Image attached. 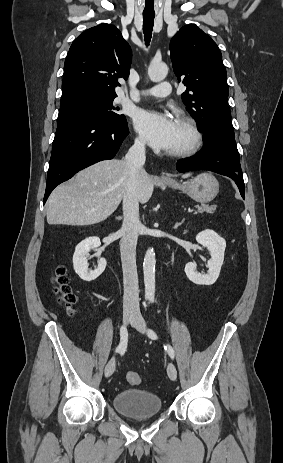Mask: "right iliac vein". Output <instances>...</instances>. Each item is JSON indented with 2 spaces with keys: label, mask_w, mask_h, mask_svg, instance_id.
<instances>
[{
  "label": "right iliac vein",
  "mask_w": 283,
  "mask_h": 463,
  "mask_svg": "<svg viewBox=\"0 0 283 463\" xmlns=\"http://www.w3.org/2000/svg\"><path fill=\"white\" fill-rule=\"evenodd\" d=\"M135 312L132 310H125L123 313V323L124 325L129 324V322L134 318ZM116 360L115 357L111 358L108 364L105 367V376L110 377L115 370Z\"/></svg>",
  "instance_id": "1"
}]
</instances>
